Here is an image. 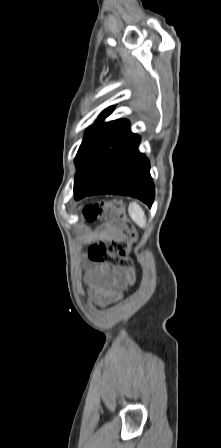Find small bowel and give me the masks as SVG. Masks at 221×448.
Here are the masks:
<instances>
[{"mask_svg": "<svg viewBox=\"0 0 221 448\" xmlns=\"http://www.w3.org/2000/svg\"><path fill=\"white\" fill-rule=\"evenodd\" d=\"M109 231L103 232L112 240L122 241L125 236L119 227L109 224ZM135 280L129 270L109 264H94L87 273L91 293L100 305L119 300L129 290Z\"/></svg>", "mask_w": 221, "mask_h": 448, "instance_id": "c3829d8e", "label": "small bowel"}]
</instances>
